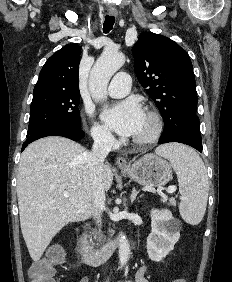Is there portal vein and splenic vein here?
I'll return each instance as SVG.
<instances>
[{
    "label": "portal vein and splenic vein",
    "instance_id": "portal-vein-and-splenic-vein-1",
    "mask_svg": "<svg viewBox=\"0 0 232 282\" xmlns=\"http://www.w3.org/2000/svg\"><path fill=\"white\" fill-rule=\"evenodd\" d=\"M166 191H167V193L172 194L176 191V187L175 186H169ZM63 195H64V197H69L70 194H69L68 191H65L63 193Z\"/></svg>",
    "mask_w": 232,
    "mask_h": 282
}]
</instances>
